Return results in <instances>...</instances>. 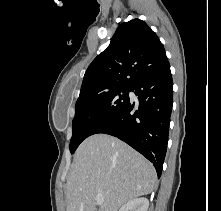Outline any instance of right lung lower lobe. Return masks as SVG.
<instances>
[{
    "label": "right lung lower lobe",
    "mask_w": 221,
    "mask_h": 211,
    "mask_svg": "<svg viewBox=\"0 0 221 211\" xmlns=\"http://www.w3.org/2000/svg\"><path fill=\"white\" fill-rule=\"evenodd\" d=\"M130 91L138 96L139 106L129 100L97 133L115 136L133 147L153 163L159 178L173 106L170 66L142 77L130 87Z\"/></svg>",
    "instance_id": "right-lung-lower-lobe-1"
}]
</instances>
